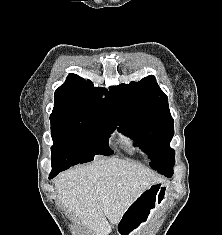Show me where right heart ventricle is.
<instances>
[{"mask_svg":"<svg viewBox=\"0 0 222 235\" xmlns=\"http://www.w3.org/2000/svg\"><path fill=\"white\" fill-rule=\"evenodd\" d=\"M120 143L124 147V149L131 155H137L141 153L138 142L133 138L125 137L121 139Z\"/></svg>","mask_w":222,"mask_h":235,"instance_id":"e07e8e85","label":"right heart ventricle"}]
</instances>
